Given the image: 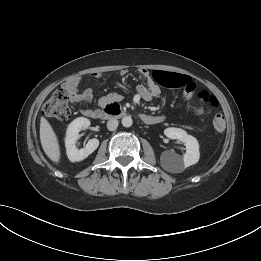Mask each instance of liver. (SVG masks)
<instances>
[{
    "label": "liver",
    "instance_id": "obj_1",
    "mask_svg": "<svg viewBox=\"0 0 261 261\" xmlns=\"http://www.w3.org/2000/svg\"><path fill=\"white\" fill-rule=\"evenodd\" d=\"M40 141L45 154L55 163L60 160V146L57 136L50 125L44 118L40 119Z\"/></svg>",
    "mask_w": 261,
    "mask_h": 261
}]
</instances>
